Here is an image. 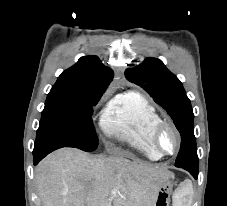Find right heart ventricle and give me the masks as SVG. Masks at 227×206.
I'll list each match as a JSON object with an SVG mask.
<instances>
[{
    "label": "right heart ventricle",
    "instance_id": "right-heart-ventricle-1",
    "mask_svg": "<svg viewBox=\"0 0 227 206\" xmlns=\"http://www.w3.org/2000/svg\"><path fill=\"white\" fill-rule=\"evenodd\" d=\"M161 121L158 110L144 95L128 91L109 101L100 126L107 136L117 138L150 160H158L161 155L152 148L150 136Z\"/></svg>",
    "mask_w": 227,
    "mask_h": 206
}]
</instances>
